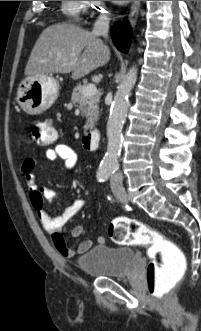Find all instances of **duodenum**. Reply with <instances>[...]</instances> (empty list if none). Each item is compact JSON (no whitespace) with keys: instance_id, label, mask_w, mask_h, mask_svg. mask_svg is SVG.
I'll list each match as a JSON object with an SVG mask.
<instances>
[{"instance_id":"obj_1","label":"duodenum","mask_w":201,"mask_h":331,"mask_svg":"<svg viewBox=\"0 0 201 331\" xmlns=\"http://www.w3.org/2000/svg\"><path fill=\"white\" fill-rule=\"evenodd\" d=\"M83 145L91 150H97L101 142V134L98 130H89L82 137Z\"/></svg>"}]
</instances>
